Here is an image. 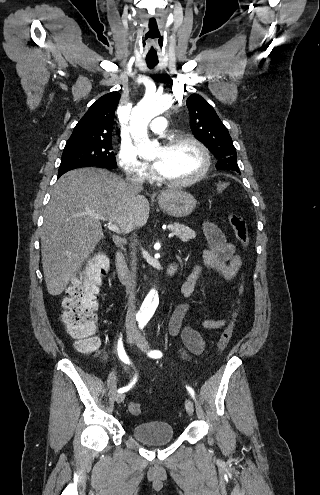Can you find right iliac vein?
<instances>
[{
    "label": "right iliac vein",
    "instance_id": "obj_1",
    "mask_svg": "<svg viewBox=\"0 0 320 495\" xmlns=\"http://www.w3.org/2000/svg\"><path fill=\"white\" fill-rule=\"evenodd\" d=\"M127 338H128V341L130 344H133L136 342V336L133 333H128ZM124 399H125L124 393H118L115 397V400L117 403H122Z\"/></svg>",
    "mask_w": 320,
    "mask_h": 495
}]
</instances>
